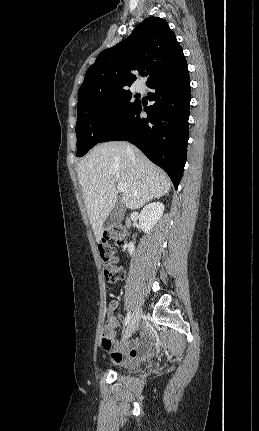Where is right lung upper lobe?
<instances>
[{
	"label": "right lung upper lobe",
	"mask_w": 259,
	"mask_h": 431,
	"mask_svg": "<svg viewBox=\"0 0 259 431\" xmlns=\"http://www.w3.org/2000/svg\"><path fill=\"white\" fill-rule=\"evenodd\" d=\"M185 63L182 47L167 22L146 18L128 38L98 55L79 88L78 103L91 95L127 89L137 72L147 71L149 85Z\"/></svg>",
	"instance_id": "cb5924a9"
}]
</instances>
